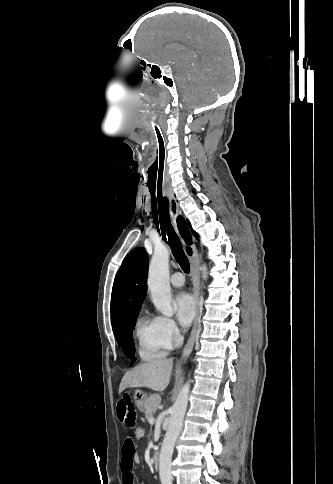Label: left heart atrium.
I'll return each instance as SVG.
<instances>
[{
	"label": "left heart atrium",
	"instance_id": "1",
	"mask_svg": "<svg viewBox=\"0 0 333 484\" xmlns=\"http://www.w3.org/2000/svg\"><path fill=\"white\" fill-rule=\"evenodd\" d=\"M174 307L179 323L187 327L196 314L195 300L190 294L180 292L174 298Z\"/></svg>",
	"mask_w": 333,
	"mask_h": 484
}]
</instances>
